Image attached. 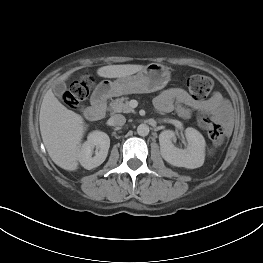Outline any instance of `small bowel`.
<instances>
[{
  "mask_svg": "<svg viewBox=\"0 0 263 263\" xmlns=\"http://www.w3.org/2000/svg\"><path fill=\"white\" fill-rule=\"evenodd\" d=\"M159 112L176 111L179 116L187 118L191 110L213 114L224 120L229 119V105L219 92H214L208 99H198L184 89L173 87L161 91L154 100Z\"/></svg>",
  "mask_w": 263,
  "mask_h": 263,
  "instance_id": "c3829d8e",
  "label": "small bowel"
}]
</instances>
